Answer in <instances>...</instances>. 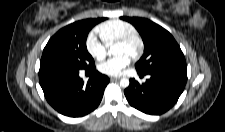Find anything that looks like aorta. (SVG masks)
<instances>
[{"instance_id":"aorta-1","label":"aorta","mask_w":225,"mask_h":132,"mask_svg":"<svg viewBox=\"0 0 225 132\" xmlns=\"http://www.w3.org/2000/svg\"><path fill=\"white\" fill-rule=\"evenodd\" d=\"M116 54V51H115V48L114 47H111L108 51V55H115ZM120 86L122 88H127L129 86V79L127 78H122L120 80Z\"/></svg>"}]
</instances>
